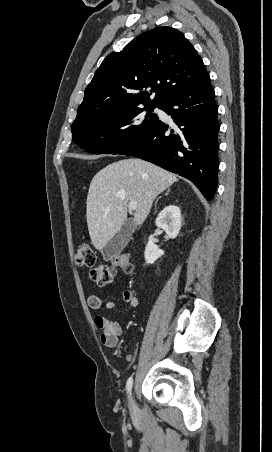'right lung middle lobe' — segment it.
I'll return each instance as SVG.
<instances>
[{
	"label": "right lung middle lobe",
	"instance_id": "1",
	"mask_svg": "<svg viewBox=\"0 0 272 452\" xmlns=\"http://www.w3.org/2000/svg\"><path fill=\"white\" fill-rule=\"evenodd\" d=\"M155 107L139 105L76 119L71 127L73 141L90 153L118 154L159 120L152 113Z\"/></svg>",
	"mask_w": 272,
	"mask_h": 452
}]
</instances>
